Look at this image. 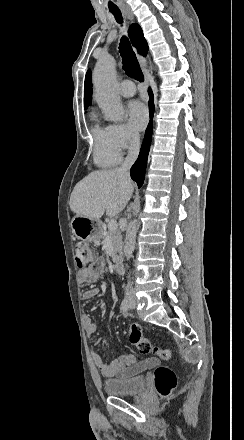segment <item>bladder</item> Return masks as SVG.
Listing matches in <instances>:
<instances>
[{
  "mask_svg": "<svg viewBox=\"0 0 244 440\" xmlns=\"http://www.w3.org/2000/svg\"><path fill=\"white\" fill-rule=\"evenodd\" d=\"M106 393L111 395H134L145 389L144 377H133L129 380L105 382Z\"/></svg>",
  "mask_w": 244,
  "mask_h": 440,
  "instance_id": "obj_1",
  "label": "bladder"
}]
</instances>
